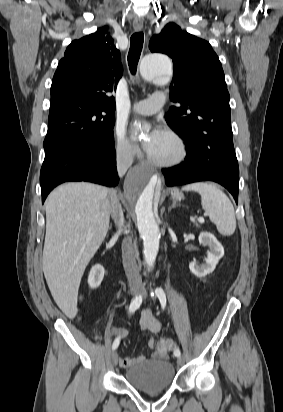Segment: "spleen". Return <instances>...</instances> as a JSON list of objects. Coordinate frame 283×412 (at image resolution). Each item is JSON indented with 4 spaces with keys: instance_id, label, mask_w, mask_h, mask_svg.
Masks as SVG:
<instances>
[{
    "instance_id": "1",
    "label": "spleen",
    "mask_w": 283,
    "mask_h": 412,
    "mask_svg": "<svg viewBox=\"0 0 283 412\" xmlns=\"http://www.w3.org/2000/svg\"><path fill=\"white\" fill-rule=\"evenodd\" d=\"M183 191H196L201 195V204L217 230L224 236H230L236 229L234 207L229 198L214 184L192 183L182 188Z\"/></svg>"
}]
</instances>
